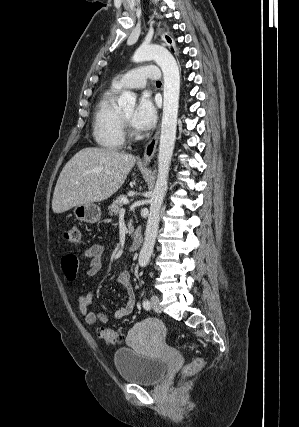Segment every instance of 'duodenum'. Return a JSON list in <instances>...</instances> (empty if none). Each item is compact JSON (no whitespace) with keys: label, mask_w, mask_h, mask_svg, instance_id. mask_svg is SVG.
Segmentation results:
<instances>
[{"label":"duodenum","mask_w":299,"mask_h":427,"mask_svg":"<svg viewBox=\"0 0 299 427\" xmlns=\"http://www.w3.org/2000/svg\"><path fill=\"white\" fill-rule=\"evenodd\" d=\"M141 243H142V235H141L140 229L138 228L134 233L133 240H132L129 251L135 252L136 250H138Z\"/></svg>","instance_id":"1"}]
</instances>
